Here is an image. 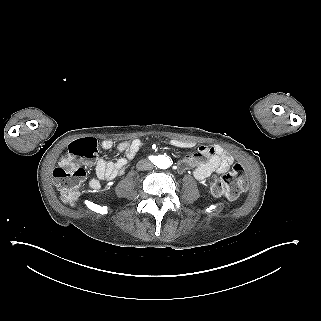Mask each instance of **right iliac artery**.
I'll list each match as a JSON object with an SVG mask.
<instances>
[{"mask_svg":"<svg viewBox=\"0 0 321 321\" xmlns=\"http://www.w3.org/2000/svg\"><path fill=\"white\" fill-rule=\"evenodd\" d=\"M149 158H150V160H153V159H154V156H150Z\"/></svg>","mask_w":321,"mask_h":321,"instance_id":"82829eb1","label":"right iliac artery"}]
</instances>
